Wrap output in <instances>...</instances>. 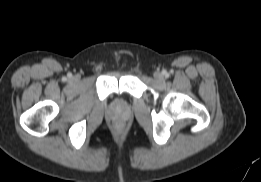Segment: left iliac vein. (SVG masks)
Segmentation results:
<instances>
[{
    "mask_svg": "<svg viewBox=\"0 0 261 182\" xmlns=\"http://www.w3.org/2000/svg\"><path fill=\"white\" fill-rule=\"evenodd\" d=\"M154 78L157 80V81H162L163 80V75L160 73V72H156L154 74Z\"/></svg>",
    "mask_w": 261,
    "mask_h": 182,
    "instance_id": "4c4485c4",
    "label": "left iliac vein"
}]
</instances>
